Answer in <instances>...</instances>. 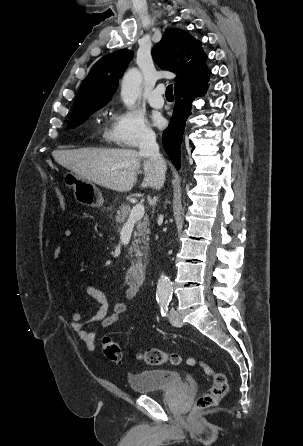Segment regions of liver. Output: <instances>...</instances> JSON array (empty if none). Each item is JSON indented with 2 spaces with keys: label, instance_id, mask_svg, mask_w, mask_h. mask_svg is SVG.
<instances>
[{
  "label": "liver",
  "instance_id": "liver-1",
  "mask_svg": "<svg viewBox=\"0 0 303 446\" xmlns=\"http://www.w3.org/2000/svg\"><path fill=\"white\" fill-rule=\"evenodd\" d=\"M52 156L85 180L118 192L133 188L141 167L144 170L141 188L160 189L165 179L148 158L134 149L56 150Z\"/></svg>",
  "mask_w": 303,
  "mask_h": 446
}]
</instances>
